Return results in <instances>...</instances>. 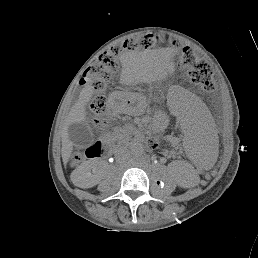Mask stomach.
I'll list each match as a JSON object with an SVG mask.
<instances>
[{"mask_svg": "<svg viewBox=\"0 0 258 258\" xmlns=\"http://www.w3.org/2000/svg\"><path fill=\"white\" fill-rule=\"evenodd\" d=\"M122 98H123L124 101H129L130 100V98L127 94H122Z\"/></svg>", "mask_w": 258, "mask_h": 258, "instance_id": "stomach-1", "label": "stomach"}]
</instances>
